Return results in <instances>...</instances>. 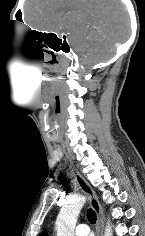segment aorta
Here are the masks:
<instances>
[{
    "label": "aorta",
    "mask_w": 145,
    "mask_h": 236,
    "mask_svg": "<svg viewBox=\"0 0 145 236\" xmlns=\"http://www.w3.org/2000/svg\"><path fill=\"white\" fill-rule=\"evenodd\" d=\"M86 201L84 196H74L60 209L56 220L57 236H74L77 217ZM112 227L108 221L104 236H112Z\"/></svg>",
    "instance_id": "obj_1"
}]
</instances>
